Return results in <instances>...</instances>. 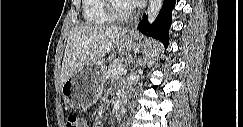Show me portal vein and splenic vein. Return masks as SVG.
<instances>
[{
	"label": "portal vein and splenic vein",
	"mask_w": 243,
	"mask_h": 127,
	"mask_svg": "<svg viewBox=\"0 0 243 127\" xmlns=\"http://www.w3.org/2000/svg\"><path fill=\"white\" fill-rule=\"evenodd\" d=\"M122 74H126V71L122 67H119L112 73V76H117Z\"/></svg>",
	"instance_id": "18ae733b"
}]
</instances>
